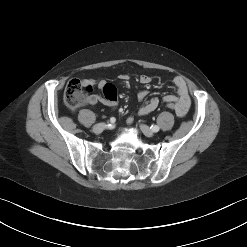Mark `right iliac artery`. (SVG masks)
I'll use <instances>...</instances> for the list:
<instances>
[{"label": "right iliac artery", "mask_w": 247, "mask_h": 247, "mask_svg": "<svg viewBox=\"0 0 247 247\" xmlns=\"http://www.w3.org/2000/svg\"><path fill=\"white\" fill-rule=\"evenodd\" d=\"M110 122L114 123L115 122V118L114 117L110 118Z\"/></svg>", "instance_id": "1"}]
</instances>
